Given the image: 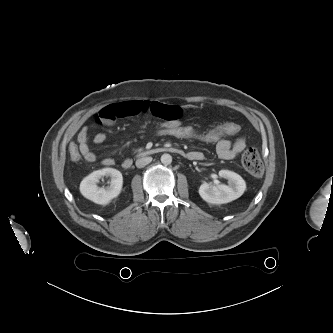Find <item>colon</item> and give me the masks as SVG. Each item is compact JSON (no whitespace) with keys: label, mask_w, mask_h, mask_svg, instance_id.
<instances>
[{"label":"colon","mask_w":333,"mask_h":333,"mask_svg":"<svg viewBox=\"0 0 333 333\" xmlns=\"http://www.w3.org/2000/svg\"><path fill=\"white\" fill-rule=\"evenodd\" d=\"M154 135L171 137L175 139H193L203 142H218L229 136H235L240 132V126L233 121L219 122L210 128H202L194 125L178 123H158L152 129ZM69 156L72 161H79L81 153L76 144H70ZM244 169L255 177L263 173V164L260 154L255 147H248L242 156Z\"/></svg>","instance_id":"5ec220e1"}]
</instances>
